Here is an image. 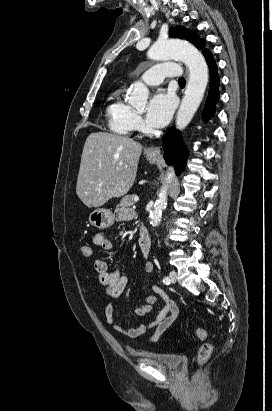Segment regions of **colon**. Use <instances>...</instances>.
Masks as SVG:
<instances>
[{"label": "colon", "instance_id": "1", "mask_svg": "<svg viewBox=\"0 0 272 411\" xmlns=\"http://www.w3.org/2000/svg\"><path fill=\"white\" fill-rule=\"evenodd\" d=\"M80 251H81L82 255L85 256V257H90L92 255V249H91L90 245H88V244H83L80 247ZM196 336L199 339H204L206 337L205 328L199 327L196 330ZM213 349H214V345L212 343H209V342L204 343L200 347L198 355H197V365L199 367H201V366H203L204 364L207 363V361L209 360V358H210V356L213 352ZM194 382H196V376L194 377Z\"/></svg>", "mask_w": 272, "mask_h": 411}]
</instances>
